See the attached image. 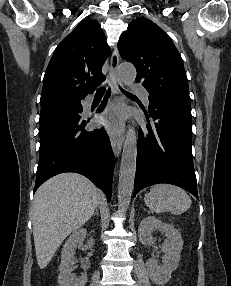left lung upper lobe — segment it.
<instances>
[{"label": "left lung upper lobe", "instance_id": "obj_1", "mask_svg": "<svg viewBox=\"0 0 231 286\" xmlns=\"http://www.w3.org/2000/svg\"><path fill=\"white\" fill-rule=\"evenodd\" d=\"M121 57L137 70L149 94L191 102L182 58L170 37L144 17L132 20L118 42Z\"/></svg>", "mask_w": 231, "mask_h": 286}]
</instances>
